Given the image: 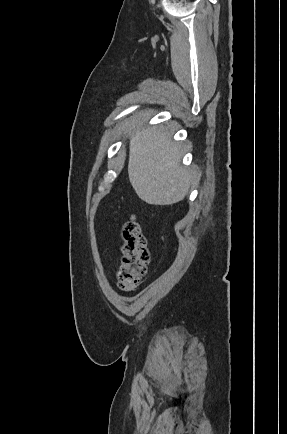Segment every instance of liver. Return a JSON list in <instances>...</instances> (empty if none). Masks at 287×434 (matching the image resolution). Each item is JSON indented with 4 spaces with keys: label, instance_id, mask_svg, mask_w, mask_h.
<instances>
[{
    "label": "liver",
    "instance_id": "1",
    "mask_svg": "<svg viewBox=\"0 0 287 434\" xmlns=\"http://www.w3.org/2000/svg\"><path fill=\"white\" fill-rule=\"evenodd\" d=\"M142 125L130 132L131 185L148 204H175L188 194L192 173L181 165L180 147L165 127Z\"/></svg>",
    "mask_w": 287,
    "mask_h": 434
}]
</instances>
